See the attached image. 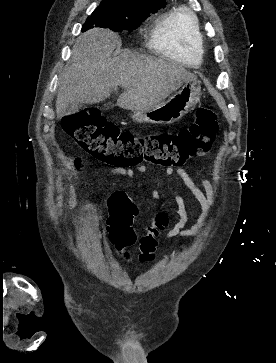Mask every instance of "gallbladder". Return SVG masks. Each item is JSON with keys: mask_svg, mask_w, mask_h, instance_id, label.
Instances as JSON below:
<instances>
[{"mask_svg": "<svg viewBox=\"0 0 276 363\" xmlns=\"http://www.w3.org/2000/svg\"><path fill=\"white\" fill-rule=\"evenodd\" d=\"M80 107H81V105L79 103L73 104V105L71 104V105L68 106L67 112L71 113V114H74V113L79 111Z\"/></svg>", "mask_w": 276, "mask_h": 363, "instance_id": "1", "label": "gallbladder"}]
</instances>
